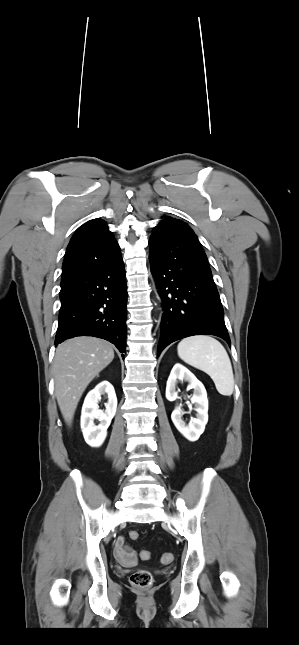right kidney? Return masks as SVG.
<instances>
[{
    "label": "right kidney",
    "instance_id": "obj_1",
    "mask_svg": "<svg viewBox=\"0 0 299 645\" xmlns=\"http://www.w3.org/2000/svg\"><path fill=\"white\" fill-rule=\"evenodd\" d=\"M105 393L108 395V402L105 404V411H103L98 409V402L101 395ZM116 408L115 390L108 381L99 383L87 394L82 406L81 429L88 445L100 447L103 444L107 436V429L115 416ZM94 419L99 421L98 425H95Z\"/></svg>",
    "mask_w": 299,
    "mask_h": 645
}]
</instances>
